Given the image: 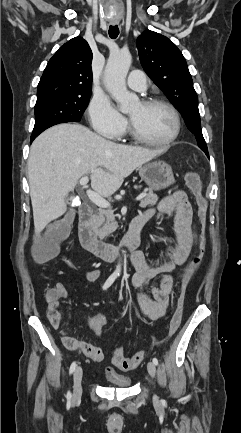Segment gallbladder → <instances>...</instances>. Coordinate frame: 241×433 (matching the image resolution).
I'll use <instances>...</instances> for the list:
<instances>
[{"label": "gallbladder", "instance_id": "gallbladder-1", "mask_svg": "<svg viewBox=\"0 0 241 433\" xmlns=\"http://www.w3.org/2000/svg\"><path fill=\"white\" fill-rule=\"evenodd\" d=\"M71 214L74 215V210L71 211Z\"/></svg>", "mask_w": 241, "mask_h": 433}]
</instances>
